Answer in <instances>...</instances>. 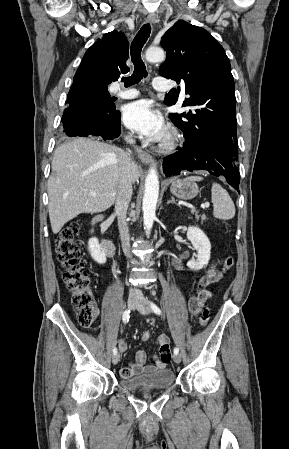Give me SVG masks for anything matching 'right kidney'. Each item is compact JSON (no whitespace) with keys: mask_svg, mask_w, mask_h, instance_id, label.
Masks as SVG:
<instances>
[{"mask_svg":"<svg viewBox=\"0 0 289 449\" xmlns=\"http://www.w3.org/2000/svg\"><path fill=\"white\" fill-rule=\"evenodd\" d=\"M88 247L90 251L91 257L96 261L98 264H104L106 262V254L102 246L99 244L98 239L95 237H92L88 241Z\"/></svg>","mask_w":289,"mask_h":449,"instance_id":"1","label":"right kidney"}]
</instances>
